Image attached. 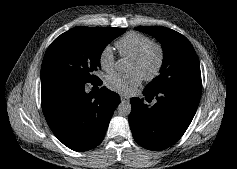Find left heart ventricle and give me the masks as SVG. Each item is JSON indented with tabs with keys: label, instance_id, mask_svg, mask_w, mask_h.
<instances>
[{
	"label": "left heart ventricle",
	"instance_id": "obj_1",
	"mask_svg": "<svg viewBox=\"0 0 237 169\" xmlns=\"http://www.w3.org/2000/svg\"><path fill=\"white\" fill-rule=\"evenodd\" d=\"M157 61V55L155 52H151L144 62H137L135 60H131L129 71H136L141 76L147 74L151 71Z\"/></svg>",
	"mask_w": 237,
	"mask_h": 169
}]
</instances>
